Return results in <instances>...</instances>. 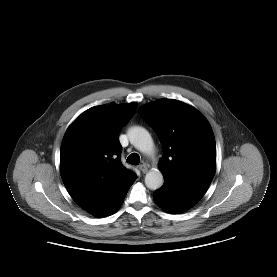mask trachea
I'll return each instance as SVG.
<instances>
[{"label": "trachea", "mask_w": 277, "mask_h": 277, "mask_svg": "<svg viewBox=\"0 0 277 277\" xmlns=\"http://www.w3.org/2000/svg\"><path fill=\"white\" fill-rule=\"evenodd\" d=\"M126 162L132 165H138L140 162V157L137 153H132L128 156Z\"/></svg>", "instance_id": "3493384b"}]
</instances>
